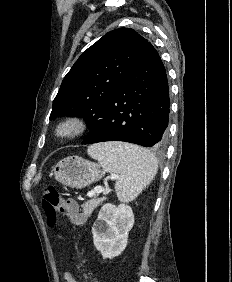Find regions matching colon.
<instances>
[{"instance_id":"1","label":"colon","mask_w":232,"mask_h":282,"mask_svg":"<svg viewBox=\"0 0 232 282\" xmlns=\"http://www.w3.org/2000/svg\"><path fill=\"white\" fill-rule=\"evenodd\" d=\"M42 207L50 226L56 223L58 213L67 215L75 224L84 221L83 216L78 212L77 203L71 199H64L54 186H46L43 189Z\"/></svg>"}]
</instances>
